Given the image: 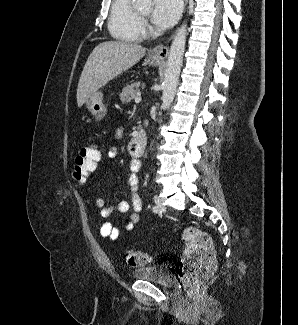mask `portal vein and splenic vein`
<instances>
[{
  "mask_svg": "<svg viewBox=\"0 0 298 325\" xmlns=\"http://www.w3.org/2000/svg\"><path fill=\"white\" fill-rule=\"evenodd\" d=\"M141 100H142V96H141L140 92H137V96H136V98H134V102H141Z\"/></svg>",
  "mask_w": 298,
  "mask_h": 325,
  "instance_id": "18ae733b",
  "label": "portal vein and splenic vein"
}]
</instances>
